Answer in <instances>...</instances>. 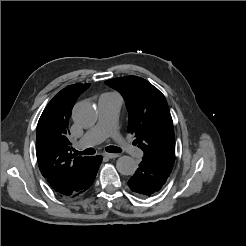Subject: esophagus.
Returning <instances> with one entry per match:
<instances>
[{
	"mask_svg": "<svg viewBox=\"0 0 246 246\" xmlns=\"http://www.w3.org/2000/svg\"><path fill=\"white\" fill-rule=\"evenodd\" d=\"M103 155H104V157H106L108 159H114V158L119 157V154H113V153H104Z\"/></svg>",
	"mask_w": 246,
	"mask_h": 246,
	"instance_id": "34e87169",
	"label": "esophagus"
}]
</instances>
